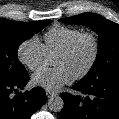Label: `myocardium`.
I'll return each mask as SVG.
<instances>
[{"label":"myocardium","mask_w":119,"mask_h":119,"mask_svg":"<svg viewBox=\"0 0 119 119\" xmlns=\"http://www.w3.org/2000/svg\"><path fill=\"white\" fill-rule=\"evenodd\" d=\"M83 38H88L92 42V47H93L92 56L88 64L86 65V67L73 77L75 80H80L86 77L90 73V71L93 69L94 65L96 64V61L99 56V50H100L99 40L97 36L91 32H80L75 37H73L68 42V44L56 54V56L70 54L75 49L78 42Z\"/></svg>","instance_id":"f54148a6"}]
</instances>
